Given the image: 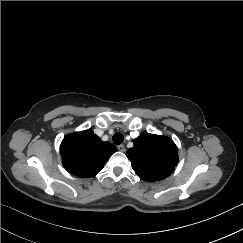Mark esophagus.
I'll use <instances>...</instances> for the list:
<instances>
[{
	"label": "esophagus",
	"mask_w": 243,
	"mask_h": 243,
	"mask_svg": "<svg viewBox=\"0 0 243 243\" xmlns=\"http://www.w3.org/2000/svg\"><path fill=\"white\" fill-rule=\"evenodd\" d=\"M117 149H118L120 152H125V151H126V148H125V146H124L123 144L118 145V146H117Z\"/></svg>",
	"instance_id": "1"
}]
</instances>
